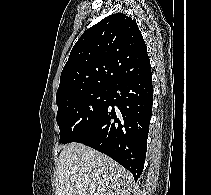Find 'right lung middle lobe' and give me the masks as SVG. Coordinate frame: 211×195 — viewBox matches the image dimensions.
Masks as SVG:
<instances>
[{"mask_svg": "<svg viewBox=\"0 0 211 195\" xmlns=\"http://www.w3.org/2000/svg\"><path fill=\"white\" fill-rule=\"evenodd\" d=\"M111 89H94L72 96L58 104L57 124L60 143L74 142L102 114L110 99Z\"/></svg>", "mask_w": 211, "mask_h": 195, "instance_id": "dd1d6c3e", "label": "right lung middle lobe"}]
</instances>
